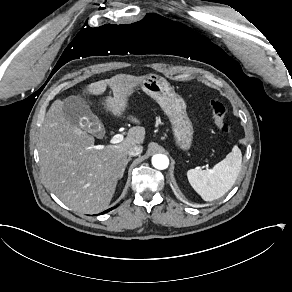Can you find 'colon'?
Returning <instances> with one entry per match:
<instances>
[{"label": "colon", "instance_id": "5ec220e1", "mask_svg": "<svg viewBox=\"0 0 292 292\" xmlns=\"http://www.w3.org/2000/svg\"><path fill=\"white\" fill-rule=\"evenodd\" d=\"M209 108L212 114L214 125L216 129L223 134L230 132V126L226 121V107L223 102L217 98H212L209 101Z\"/></svg>", "mask_w": 292, "mask_h": 292}]
</instances>
